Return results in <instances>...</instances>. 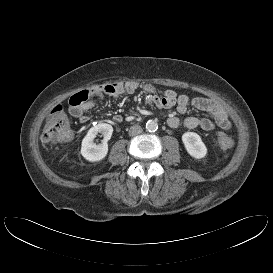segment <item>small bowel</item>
Here are the masks:
<instances>
[{
	"label": "small bowel",
	"instance_id": "1",
	"mask_svg": "<svg viewBox=\"0 0 273 273\" xmlns=\"http://www.w3.org/2000/svg\"><path fill=\"white\" fill-rule=\"evenodd\" d=\"M138 89L146 91L148 93L147 102L158 108L170 109L176 107L179 114H185L191 106L196 110L208 113L210 116L209 118L170 116L167 119V123L172 128L183 126L188 129L201 128L205 131H211L216 127L224 130L231 128L227 111L218 102L205 97H196L190 100L187 95H177L173 90H166L162 95H159L152 85L140 82L109 84L94 89L89 98L80 105L75 106L69 103V110L71 115L78 119L80 123H86L89 119L86 112L105 96L118 98L125 94H133ZM121 120L122 117L120 115L114 116L115 122H120Z\"/></svg>",
	"mask_w": 273,
	"mask_h": 273
}]
</instances>
